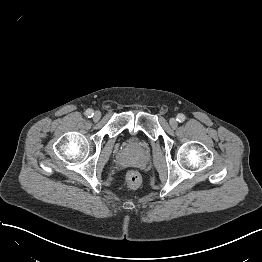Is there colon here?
<instances>
[{
	"mask_svg": "<svg viewBox=\"0 0 262 262\" xmlns=\"http://www.w3.org/2000/svg\"><path fill=\"white\" fill-rule=\"evenodd\" d=\"M141 185V177L136 171H131L127 175L126 187L130 190H135Z\"/></svg>",
	"mask_w": 262,
	"mask_h": 262,
	"instance_id": "1",
	"label": "colon"
}]
</instances>
